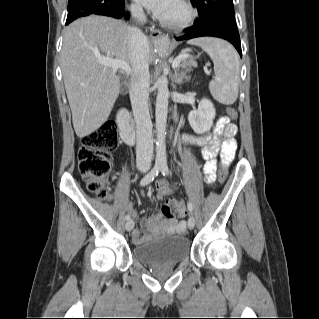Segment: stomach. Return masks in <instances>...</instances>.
Listing matches in <instances>:
<instances>
[{
	"instance_id": "stomach-1",
	"label": "stomach",
	"mask_w": 319,
	"mask_h": 319,
	"mask_svg": "<svg viewBox=\"0 0 319 319\" xmlns=\"http://www.w3.org/2000/svg\"><path fill=\"white\" fill-rule=\"evenodd\" d=\"M169 41L167 39H164L161 43H160V50L162 52H168L169 51Z\"/></svg>"
}]
</instances>
